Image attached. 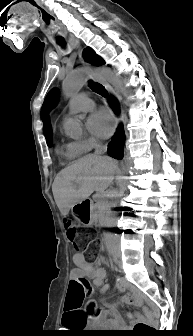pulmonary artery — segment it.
Listing matches in <instances>:
<instances>
[{
	"label": "pulmonary artery",
	"instance_id": "pulmonary-artery-1",
	"mask_svg": "<svg viewBox=\"0 0 193 336\" xmlns=\"http://www.w3.org/2000/svg\"><path fill=\"white\" fill-rule=\"evenodd\" d=\"M93 108L94 102L85 93L76 95L68 104V111L70 114L88 112Z\"/></svg>",
	"mask_w": 193,
	"mask_h": 336
}]
</instances>
